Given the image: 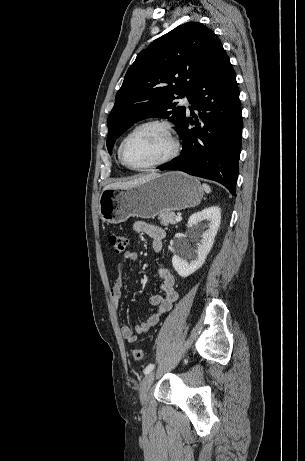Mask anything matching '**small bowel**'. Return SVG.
I'll list each match as a JSON object with an SVG mask.
<instances>
[{"label":"small bowel","mask_w":305,"mask_h":461,"mask_svg":"<svg viewBox=\"0 0 305 461\" xmlns=\"http://www.w3.org/2000/svg\"><path fill=\"white\" fill-rule=\"evenodd\" d=\"M134 230L138 233H144L151 237V247L155 253H160L163 249V240L166 237V232L159 226L147 223L144 221H137L133 226ZM138 259V253L133 250L126 251L123 259L117 264L118 276L111 289V299L116 308L119 306V301L122 295L123 277L126 273L127 261H135ZM157 274L161 279L160 294H152L149 296L150 304L157 306V310L151 314L145 322L138 324L133 331L128 326L121 328L122 337L128 343H135L139 337L146 334L149 329L155 326L161 318L168 313L174 303L179 298V293L175 288V278L170 270L166 267H160Z\"/></svg>","instance_id":"1"}]
</instances>
